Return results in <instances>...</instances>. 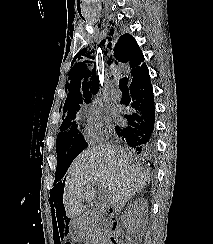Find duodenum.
Segmentation results:
<instances>
[{"instance_id": "410a0bca", "label": "duodenum", "mask_w": 213, "mask_h": 244, "mask_svg": "<svg viewBox=\"0 0 213 244\" xmlns=\"http://www.w3.org/2000/svg\"><path fill=\"white\" fill-rule=\"evenodd\" d=\"M110 229H111V233L108 235L107 244H116L115 238L118 230L116 223H112Z\"/></svg>"}]
</instances>
